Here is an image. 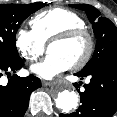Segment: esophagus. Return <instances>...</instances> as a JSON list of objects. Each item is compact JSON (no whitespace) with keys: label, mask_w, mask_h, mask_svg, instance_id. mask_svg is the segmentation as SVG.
<instances>
[{"label":"esophagus","mask_w":117,"mask_h":117,"mask_svg":"<svg viewBox=\"0 0 117 117\" xmlns=\"http://www.w3.org/2000/svg\"><path fill=\"white\" fill-rule=\"evenodd\" d=\"M42 85L44 87H48V86H52V83L51 82H48V81H42Z\"/></svg>","instance_id":"obj_1"}]
</instances>
